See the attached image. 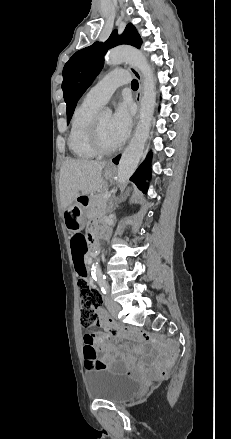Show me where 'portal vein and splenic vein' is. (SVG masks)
<instances>
[{
	"label": "portal vein and splenic vein",
	"mask_w": 231,
	"mask_h": 439,
	"mask_svg": "<svg viewBox=\"0 0 231 439\" xmlns=\"http://www.w3.org/2000/svg\"><path fill=\"white\" fill-rule=\"evenodd\" d=\"M109 197H110L109 194H104V195H103V198H104V199H107V198H109Z\"/></svg>",
	"instance_id": "1"
}]
</instances>
